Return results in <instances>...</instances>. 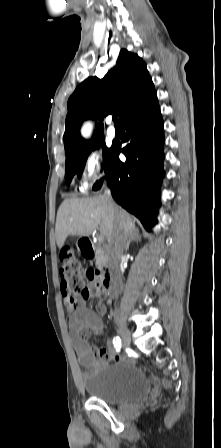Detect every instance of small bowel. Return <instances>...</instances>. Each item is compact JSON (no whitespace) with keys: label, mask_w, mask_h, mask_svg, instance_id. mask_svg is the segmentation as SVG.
Returning <instances> with one entry per match:
<instances>
[{"label":"small bowel","mask_w":221,"mask_h":448,"mask_svg":"<svg viewBox=\"0 0 221 448\" xmlns=\"http://www.w3.org/2000/svg\"><path fill=\"white\" fill-rule=\"evenodd\" d=\"M96 295L104 298L99 280L91 281L85 289L84 296L77 303L66 301L65 307L68 311L67 325L69 329V339L74 346L80 364L86 372L97 370L103 362H124L125 358L116 354L111 348H103L96 351L87 341L90 333L102 334L104 325L102 317L106 314L107 308L104 304L97 305L96 310L87 307V299Z\"/></svg>","instance_id":"obj_1"}]
</instances>
